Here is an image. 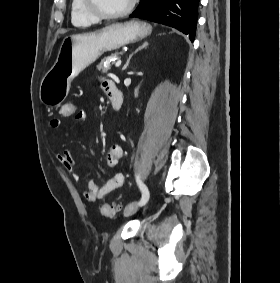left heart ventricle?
Returning a JSON list of instances; mask_svg holds the SVG:
<instances>
[{
    "label": "left heart ventricle",
    "instance_id": "left-heart-ventricle-1",
    "mask_svg": "<svg viewBox=\"0 0 280 283\" xmlns=\"http://www.w3.org/2000/svg\"><path fill=\"white\" fill-rule=\"evenodd\" d=\"M97 7L105 13L114 14L123 11L130 0H94Z\"/></svg>",
    "mask_w": 280,
    "mask_h": 283
}]
</instances>
